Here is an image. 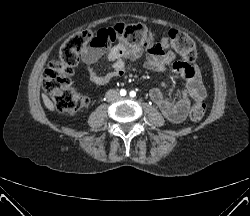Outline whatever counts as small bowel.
Returning a JSON list of instances; mask_svg holds the SVG:
<instances>
[{
	"label": "small bowel",
	"instance_id": "small-bowel-1",
	"mask_svg": "<svg viewBox=\"0 0 250 216\" xmlns=\"http://www.w3.org/2000/svg\"><path fill=\"white\" fill-rule=\"evenodd\" d=\"M103 58L112 63V69L106 73L94 69L95 64ZM141 58L144 59V66L147 69L167 73L168 66L171 65L172 71L185 79V85L179 90L175 102L167 100L158 88L152 89L149 93L151 100L169 121L182 122L187 116L191 102L204 100L206 90L197 68L186 61L177 60L175 54L170 51L167 41L152 40L143 44L141 48L119 43L110 48L89 47L82 52V60L87 67L90 80L100 86L123 76L129 69L130 63Z\"/></svg>",
	"mask_w": 250,
	"mask_h": 216
}]
</instances>
